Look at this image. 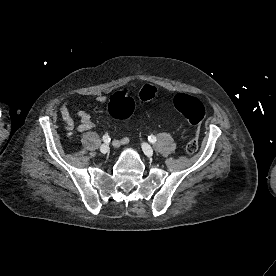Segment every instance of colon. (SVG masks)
Wrapping results in <instances>:
<instances>
[{
    "label": "colon",
    "instance_id": "5ec220e1",
    "mask_svg": "<svg viewBox=\"0 0 276 276\" xmlns=\"http://www.w3.org/2000/svg\"><path fill=\"white\" fill-rule=\"evenodd\" d=\"M156 95V90L151 85H145L139 92V98L142 103H147ZM175 109L181 113L196 128L205 115V107L202 102L188 94L179 93L173 99ZM135 99L128 92H118L114 94L108 104L109 114L118 120H125L132 116L135 110ZM198 149V140L190 139L186 144V151L190 154L195 153Z\"/></svg>",
    "mask_w": 276,
    "mask_h": 276
}]
</instances>
